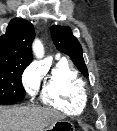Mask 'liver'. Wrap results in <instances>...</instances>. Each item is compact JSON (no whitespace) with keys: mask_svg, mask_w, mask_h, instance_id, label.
Returning <instances> with one entry per match:
<instances>
[{"mask_svg":"<svg viewBox=\"0 0 117 131\" xmlns=\"http://www.w3.org/2000/svg\"><path fill=\"white\" fill-rule=\"evenodd\" d=\"M63 118V115L50 108L0 107V131H43Z\"/></svg>","mask_w":117,"mask_h":131,"instance_id":"6515ba94","label":"liver"}]
</instances>
